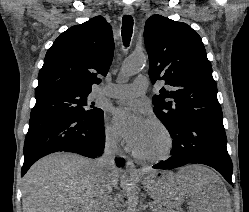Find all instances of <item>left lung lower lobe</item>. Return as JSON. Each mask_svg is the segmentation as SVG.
<instances>
[{
  "label": "left lung lower lobe",
  "mask_w": 249,
  "mask_h": 212,
  "mask_svg": "<svg viewBox=\"0 0 249 212\" xmlns=\"http://www.w3.org/2000/svg\"><path fill=\"white\" fill-rule=\"evenodd\" d=\"M167 129L173 138L172 157L153 165V168L171 169L190 163L204 164L216 169L232 184L233 165L227 152L221 118L183 119L177 127Z\"/></svg>",
  "instance_id": "0a47b994"
}]
</instances>
